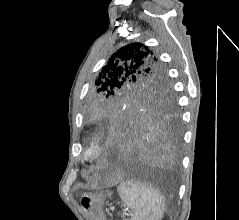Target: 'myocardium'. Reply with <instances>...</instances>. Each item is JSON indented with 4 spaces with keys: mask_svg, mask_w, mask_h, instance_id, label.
<instances>
[{
    "mask_svg": "<svg viewBox=\"0 0 239 220\" xmlns=\"http://www.w3.org/2000/svg\"><path fill=\"white\" fill-rule=\"evenodd\" d=\"M105 152V144L101 137L93 136L85 146L83 159L88 162L99 159Z\"/></svg>",
    "mask_w": 239,
    "mask_h": 220,
    "instance_id": "myocardium-1",
    "label": "myocardium"
}]
</instances>
